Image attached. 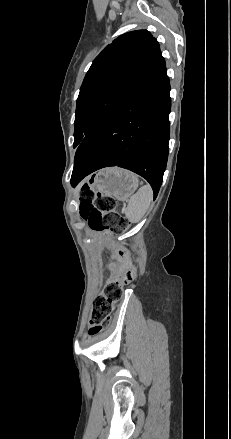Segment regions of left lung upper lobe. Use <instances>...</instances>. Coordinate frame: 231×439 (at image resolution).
I'll return each instance as SVG.
<instances>
[{"instance_id":"1","label":"left lung upper lobe","mask_w":231,"mask_h":439,"mask_svg":"<svg viewBox=\"0 0 231 439\" xmlns=\"http://www.w3.org/2000/svg\"><path fill=\"white\" fill-rule=\"evenodd\" d=\"M164 58L147 30L125 33L94 59L80 88L74 122V148Z\"/></svg>"}]
</instances>
